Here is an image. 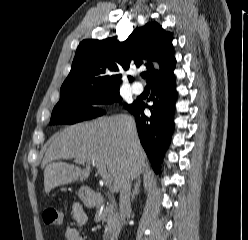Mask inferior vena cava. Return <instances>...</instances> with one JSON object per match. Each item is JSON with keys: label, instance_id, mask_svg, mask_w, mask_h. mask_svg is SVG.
Here are the masks:
<instances>
[{"label": "inferior vena cava", "instance_id": "1", "mask_svg": "<svg viewBox=\"0 0 248 240\" xmlns=\"http://www.w3.org/2000/svg\"><path fill=\"white\" fill-rule=\"evenodd\" d=\"M130 195H131V179L127 177L123 181L120 188L119 211H120L121 226L125 224V218L131 209Z\"/></svg>", "mask_w": 248, "mask_h": 240}]
</instances>
